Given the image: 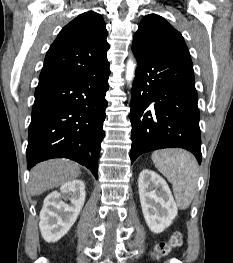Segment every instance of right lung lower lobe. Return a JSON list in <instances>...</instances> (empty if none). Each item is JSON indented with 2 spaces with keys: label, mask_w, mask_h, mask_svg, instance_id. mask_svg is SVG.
<instances>
[{
  "label": "right lung lower lobe",
  "mask_w": 233,
  "mask_h": 263,
  "mask_svg": "<svg viewBox=\"0 0 233 263\" xmlns=\"http://www.w3.org/2000/svg\"><path fill=\"white\" fill-rule=\"evenodd\" d=\"M109 74L107 60L93 74L36 87L26 151L28 169L65 157L98 178Z\"/></svg>",
  "instance_id": "98d812e1"
}]
</instances>
